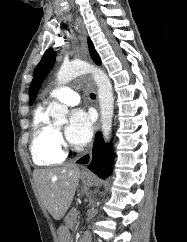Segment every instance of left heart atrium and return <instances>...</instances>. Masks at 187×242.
<instances>
[{
  "label": "left heart atrium",
  "mask_w": 187,
  "mask_h": 242,
  "mask_svg": "<svg viewBox=\"0 0 187 242\" xmlns=\"http://www.w3.org/2000/svg\"><path fill=\"white\" fill-rule=\"evenodd\" d=\"M94 119L81 108L74 109L65 130L67 139L75 145H85L92 137Z\"/></svg>",
  "instance_id": "obj_1"
}]
</instances>
